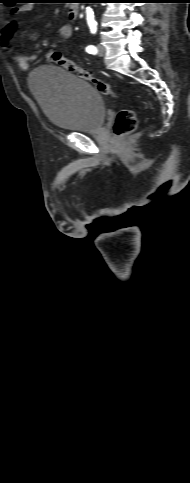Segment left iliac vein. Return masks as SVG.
I'll return each instance as SVG.
<instances>
[{"label":"left iliac vein","mask_w":190,"mask_h":483,"mask_svg":"<svg viewBox=\"0 0 190 483\" xmlns=\"http://www.w3.org/2000/svg\"><path fill=\"white\" fill-rule=\"evenodd\" d=\"M97 49H98V54H99L100 56H104V55H105V49H104V47H103L101 44H99V45L97 46Z\"/></svg>","instance_id":"obj_1"}]
</instances>
